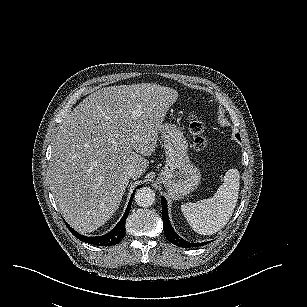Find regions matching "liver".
<instances>
[{
  "instance_id": "6515ba94",
  "label": "liver",
  "mask_w": 307,
  "mask_h": 307,
  "mask_svg": "<svg viewBox=\"0 0 307 307\" xmlns=\"http://www.w3.org/2000/svg\"><path fill=\"white\" fill-rule=\"evenodd\" d=\"M177 98L175 89L157 84L109 86L66 115L51 152L50 189L74 230L91 233L114 215L129 179L146 172L144 156L155 152Z\"/></svg>"
}]
</instances>
